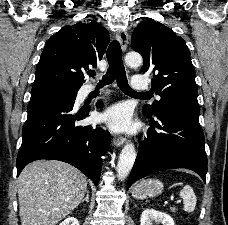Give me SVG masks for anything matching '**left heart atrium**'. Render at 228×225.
Returning <instances> with one entry per match:
<instances>
[{"mask_svg":"<svg viewBox=\"0 0 228 225\" xmlns=\"http://www.w3.org/2000/svg\"><path fill=\"white\" fill-rule=\"evenodd\" d=\"M103 119L112 130L117 132H128L134 129L130 110L125 104H117L108 108Z\"/></svg>","mask_w":228,"mask_h":225,"instance_id":"left-heart-atrium-1","label":"left heart atrium"}]
</instances>
